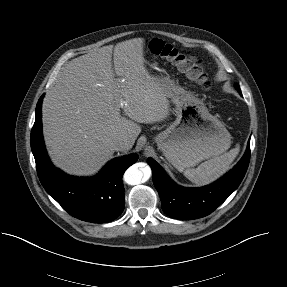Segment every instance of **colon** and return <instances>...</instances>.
<instances>
[{
  "label": "colon",
  "instance_id": "1",
  "mask_svg": "<svg viewBox=\"0 0 287 287\" xmlns=\"http://www.w3.org/2000/svg\"><path fill=\"white\" fill-rule=\"evenodd\" d=\"M149 50L160 57L174 63L191 80L203 88L209 87V79L203 63L193 55L187 54L175 46L160 39H152L148 42Z\"/></svg>",
  "mask_w": 287,
  "mask_h": 287
}]
</instances>
